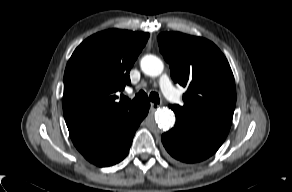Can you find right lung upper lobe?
<instances>
[{"label":"right lung upper lobe","instance_id":"cb5924a9","mask_svg":"<svg viewBox=\"0 0 292 192\" xmlns=\"http://www.w3.org/2000/svg\"><path fill=\"white\" fill-rule=\"evenodd\" d=\"M149 38L148 33L110 29L83 41L64 73L66 124L106 121L138 105L117 102V91L130 85L129 72Z\"/></svg>","mask_w":292,"mask_h":192}]
</instances>
